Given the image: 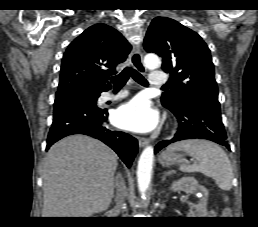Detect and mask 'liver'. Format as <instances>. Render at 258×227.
Returning <instances> with one entry per match:
<instances>
[{
	"label": "liver",
	"instance_id": "liver-1",
	"mask_svg": "<svg viewBox=\"0 0 258 227\" xmlns=\"http://www.w3.org/2000/svg\"><path fill=\"white\" fill-rule=\"evenodd\" d=\"M116 154L84 135L55 143L43 161V217H88L109 208Z\"/></svg>",
	"mask_w": 258,
	"mask_h": 227
}]
</instances>
